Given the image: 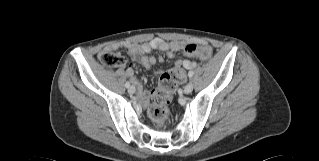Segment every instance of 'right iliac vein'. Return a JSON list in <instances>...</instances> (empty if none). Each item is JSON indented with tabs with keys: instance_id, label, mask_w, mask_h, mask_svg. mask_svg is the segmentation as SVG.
<instances>
[{
	"instance_id": "1",
	"label": "right iliac vein",
	"mask_w": 319,
	"mask_h": 161,
	"mask_svg": "<svg viewBox=\"0 0 319 161\" xmlns=\"http://www.w3.org/2000/svg\"><path fill=\"white\" fill-rule=\"evenodd\" d=\"M128 91H129L130 94H134L135 91H136V89H135L134 86H130V87L128 88Z\"/></svg>"
}]
</instances>
